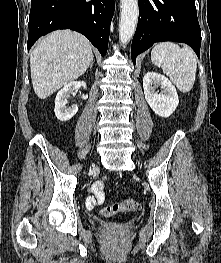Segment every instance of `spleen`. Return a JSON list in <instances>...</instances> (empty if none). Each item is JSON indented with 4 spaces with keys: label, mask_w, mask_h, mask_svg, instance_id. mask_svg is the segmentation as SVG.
Wrapping results in <instances>:
<instances>
[{
    "label": "spleen",
    "mask_w": 221,
    "mask_h": 263,
    "mask_svg": "<svg viewBox=\"0 0 221 263\" xmlns=\"http://www.w3.org/2000/svg\"><path fill=\"white\" fill-rule=\"evenodd\" d=\"M151 60L161 67L181 92H189L195 82L197 60L194 51L172 42H161L151 51Z\"/></svg>",
    "instance_id": "obj_1"
}]
</instances>
